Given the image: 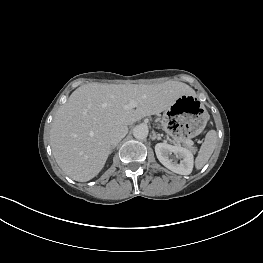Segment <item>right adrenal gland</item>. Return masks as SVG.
Here are the masks:
<instances>
[{
  "label": "right adrenal gland",
  "instance_id": "2a0ac1e0",
  "mask_svg": "<svg viewBox=\"0 0 263 263\" xmlns=\"http://www.w3.org/2000/svg\"><path fill=\"white\" fill-rule=\"evenodd\" d=\"M115 147H116V146H113V147L111 148V151H112V150H114V149H115Z\"/></svg>",
  "mask_w": 263,
  "mask_h": 263
}]
</instances>
